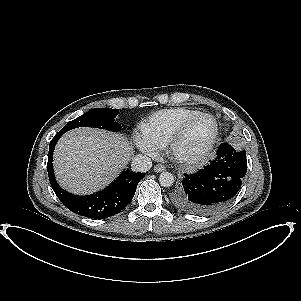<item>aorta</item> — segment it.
<instances>
[{
	"label": "aorta",
	"instance_id": "1",
	"mask_svg": "<svg viewBox=\"0 0 301 301\" xmlns=\"http://www.w3.org/2000/svg\"><path fill=\"white\" fill-rule=\"evenodd\" d=\"M159 183L163 187H170L174 183V176L170 172H162L159 176Z\"/></svg>",
	"mask_w": 301,
	"mask_h": 301
}]
</instances>
